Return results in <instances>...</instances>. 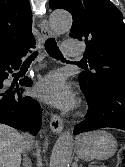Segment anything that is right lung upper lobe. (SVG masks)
I'll return each mask as SVG.
<instances>
[{"instance_id":"obj_1","label":"right lung upper lobe","mask_w":125,"mask_h":167,"mask_svg":"<svg viewBox=\"0 0 125 167\" xmlns=\"http://www.w3.org/2000/svg\"><path fill=\"white\" fill-rule=\"evenodd\" d=\"M29 0H0V61L35 45Z\"/></svg>"}]
</instances>
